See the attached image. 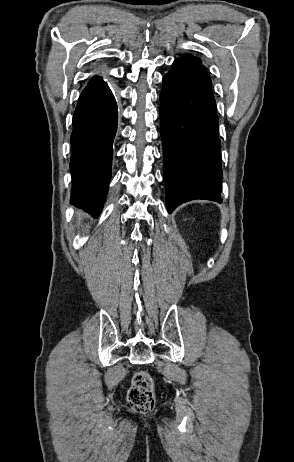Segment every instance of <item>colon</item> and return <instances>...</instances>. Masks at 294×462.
<instances>
[{
	"instance_id": "1",
	"label": "colon",
	"mask_w": 294,
	"mask_h": 462,
	"mask_svg": "<svg viewBox=\"0 0 294 462\" xmlns=\"http://www.w3.org/2000/svg\"><path fill=\"white\" fill-rule=\"evenodd\" d=\"M131 407L141 413L151 411L155 406L154 382L146 371H138L132 379L127 395Z\"/></svg>"
}]
</instances>
